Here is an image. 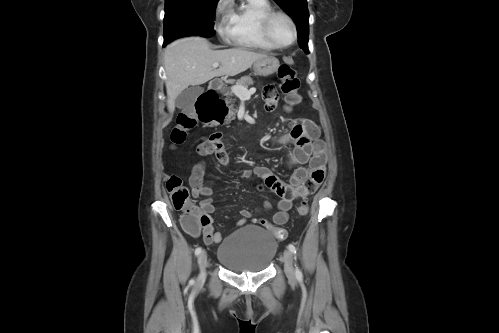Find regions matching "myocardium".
Instances as JSON below:
<instances>
[{"label":"myocardium","instance_id":"myocardium-1","mask_svg":"<svg viewBox=\"0 0 499 333\" xmlns=\"http://www.w3.org/2000/svg\"><path fill=\"white\" fill-rule=\"evenodd\" d=\"M276 17H283V18H285L289 22V24L291 26V29H292V39L287 44H280V43H278L276 41V39L274 38L273 34H272L271 26H272L273 20ZM262 31H263L265 37L267 38V40L275 48H280V49L288 48V47L292 46L295 43L296 39H297V27H296L294 19L288 13H286L284 11H281V10H271L270 12H268L264 16V18L262 20Z\"/></svg>","mask_w":499,"mask_h":333}]
</instances>
